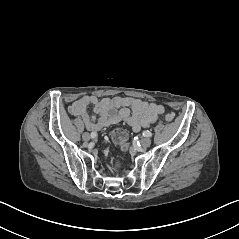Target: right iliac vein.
I'll return each instance as SVG.
<instances>
[{
	"mask_svg": "<svg viewBox=\"0 0 239 239\" xmlns=\"http://www.w3.org/2000/svg\"><path fill=\"white\" fill-rule=\"evenodd\" d=\"M82 138L84 141L90 140V134L88 132L83 133Z\"/></svg>",
	"mask_w": 239,
	"mask_h": 239,
	"instance_id": "1",
	"label": "right iliac vein"
}]
</instances>
